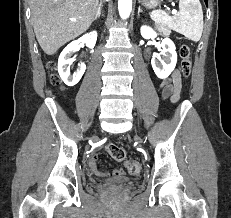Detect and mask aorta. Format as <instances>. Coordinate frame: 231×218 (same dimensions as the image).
Returning a JSON list of instances; mask_svg holds the SVG:
<instances>
[{
	"label": "aorta",
	"instance_id": "762f6f07",
	"mask_svg": "<svg viewBox=\"0 0 231 218\" xmlns=\"http://www.w3.org/2000/svg\"><path fill=\"white\" fill-rule=\"evenodd\" d=\"M119 15L122 19H127L132 10V0H118Z\"/></svg>",
	"mask_w": 231,
	"mask_h": 218
}]
</instances>
